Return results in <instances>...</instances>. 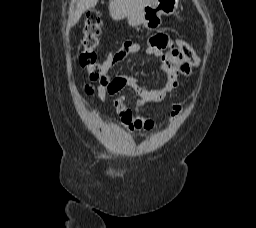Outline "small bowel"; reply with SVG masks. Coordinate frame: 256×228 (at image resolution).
<instances>
[{
	"mask_svg": "<svg viewBox=\"0 0 256 228\" xmlns=\"http://www.w3.org/2000/svg\"><path fill=\"white\" fill-rule=\"evenodd\" d=\"M141 51V45L126 41L114 53L110 54L103 62V75L99 79L98 96L105 100L108 96L115 95L125 88H131L139 97L136 110L132 111L125 104V96L120 95L115 100V107L120 116L121 124L128 130H150L155 123L149 113L142 114L140 108L149 102L162 101L168 95L176 96L179 88V78L191 73V65L183 58L172 44L170 38L163 33L153 35L148 42L146 53L159 63L165 80L158 87H147L137 78L130 75L111 77L110 69L128 56H133ZM181 107L173 103L171 116H177Z\"/></svg>",
	"mask_w": 256,
	"mask_h": 228,
	"instance_id": "c3829d8e",
	"label": "small bowel"
}]
</instances>
